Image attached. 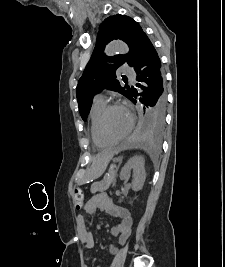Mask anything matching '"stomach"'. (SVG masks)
<instances>
[{"label": "stomach", "mask_w": 225, "mask_h": 267, "mask_svg": "<svg viewBox=\"0 0 225 267\" xmlns=\"http://www.w3.org/2000/svg\"><path fill=\"white\" fill-rule=\"evenodd\" d=\"M112 158L111 154H102L98 160L95 161L94 167H93V172L91 174V178H97L99 177L104 170L106 169V166L109 162V160Z\"/></svg>", "instance_id": "obj_1"}]
</instances>
